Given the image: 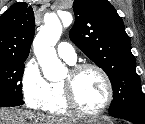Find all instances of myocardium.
<instances>
[{"label":"myocardium","mask_w":145,"mask_h":124,"mask_svg":"<svg viewBox=\"0 0 145 124\" xmlns=\"http://www.w3.org/2000/svg\"><path fill=\"white\" fill-rule=\"evenodd\" d=\"M92 69L98 72V74L102 77L105 86H106V100L102 104L100 108L94 111H87L85 110L80 103L78 102L75 91H74V84L73 81L77 75H79L81 72ZM61 84L64 89V95L66 102L69 106V108L76 114L80 116L85 117H96L101 114H103L112 104L114 99V89L112 81L107 74V72L99 65L93 64V63H79L76 65H73L72 68L69 71V78L66 80L61 81Z\"/></svg>","instance_id":"obj_1"}]
</instances>
